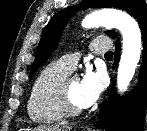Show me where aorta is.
I'll return each mask as SVG.
<instances>
[{
  "instance_id": "obj_1",
  "label": "aorta",
  "mask_w": 147,
  "mask_h": 131,
  "mask_svg": "<svg viewBox=\"0 0 147 131\" xmlns=\"http://www.w3.org/2000/svg\"><path fill=\"white\" fill-rule=\"evenodd\" d=\"M82 25L86 28L102 25L117 28L121 32L123 47L117 74V88L123 93L134 76L141 55V32L137 22L125 12L104 9L87 15Z\"/></svg>"
}]
</instances>
